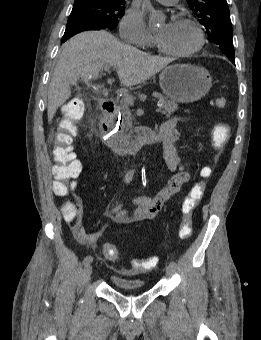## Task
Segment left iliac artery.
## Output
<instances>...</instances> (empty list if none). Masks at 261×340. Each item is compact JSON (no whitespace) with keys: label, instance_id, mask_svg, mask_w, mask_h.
Returning <instances> with one entry per match:
<instances>
[{"label":"left iliac artery","instance_id":"obj_1","mask_svg":"<svg viewBox=\"0 0 261 340\" xmlns=\"http://www.w3.org/2000/svg\"><path fill=\"white\" fill-rule=\"evenodd\" d=\"M169 265H171L172 267H176L177 263L175 261H170Z\"/></svg>","mask_w":261,"mask_h":340}]
</instances>
